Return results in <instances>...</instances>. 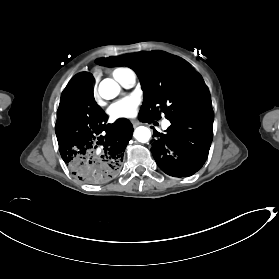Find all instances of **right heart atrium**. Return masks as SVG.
<instances>
[{"mask_svg": "<svg viewBox=\"0 0 279 279\" xmlns=\"http://www.w3.org/2000/svg\"><path fill=\"white\" fill-rule=\"evenodd\" d=\"M93 94H94V97L96 98V97H97V91H96V89H94Z\"/></svg>", "mask_w": 279, "mask_h": 279, "instance_id": "1", "label": "right heart atrium"}]
</instances>
